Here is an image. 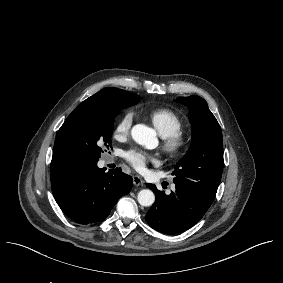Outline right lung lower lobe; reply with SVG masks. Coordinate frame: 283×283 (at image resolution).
Returning a JSON list of instances; mask_svg holds the SVG:
<instances>
[{
	"label": "right lung lower lobe",
	"mask_w": 283,
	"mask_h": 283,
	"mask_svg": "<svg viewBox=\"0 0 283 283\" xmlns=\"http://www.w3.org/2000/svg\"><path fill=\"white\" fill-rule=\"evenodd\" d=\"M97 161H80L51 171L55 200L70 219L80 224L105 219L133 186L131 176L118 168L105 173L97 167Z\"/></svg>",
	"instance_id": "1"
}]
</instances>
